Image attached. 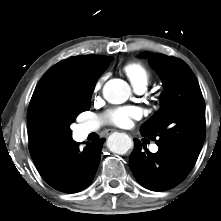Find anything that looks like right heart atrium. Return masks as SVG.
<instances>
[{
  "mask_svg": "<svg viewBox=\"0 0 221 221\" xmlns=\"http://www.w3.org/2000/svg\"><path fill=\"white\" fill-rule=\"evenodd\" d=\"M101 84H102V80H99V81L96 83V85H95V89H96V90L100 89Z\"/></svg>",
  "mask_w": 221,
  "mask_h": 221,
  "instance_id": "right-heart-atrium-1",
  "label": "right heart atrium"
}]
</instances>
